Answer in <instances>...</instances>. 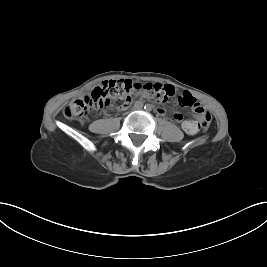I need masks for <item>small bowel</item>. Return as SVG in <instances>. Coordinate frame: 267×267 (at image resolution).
<instances>
[{
    "mask_svg": "<svg viewBox=\"0 0 267 267\" xmlns=\"http://www.w3.org/2000/svg\"><path fill=\"white\" fill-rule=\"evenodd\" d=\"M128 107V103H124L121 105L120 109H126ZM204 108V107H203ZM159 113H164V110L159 109ZM174 115H179V119L175 120ZM173 115V120L177 123L182 124V128L189 134H195L197 132V126L192 120H185L183 121V118L180 114L176 113Z\"/></svg>",
    "mask_w": 267,
    "mask_h": 267,
    "instance_id": "small-bowel-1",
    "label": "small bowel"
}]
</instances>
